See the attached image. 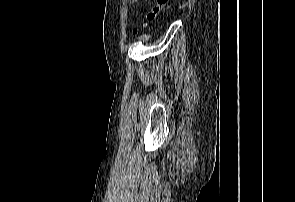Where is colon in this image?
<instances>
[{
	"instance_id": "1",
	"label": "colon",
	"mask_w": 295,
	"mask_h": 202,
	"mask_svg": "<svg viewBox=\"0 0 295 202\" xmlns=\"http://www.w3.org/2000/svg\"><path fill=\"white\" fill-rule=\"evenodd\" d=\"M168 0H154L153 7L148 13L147 18L150 22L157 19L159 14L163 11L167 4Z\"/></svg>"
}]
</instances>
